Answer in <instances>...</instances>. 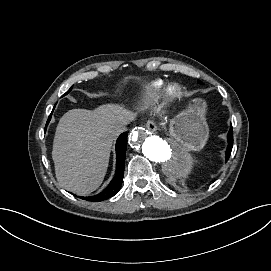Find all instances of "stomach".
Masks as SVG:
<instances>
[{
	"label": "stomach",
	"instance_id": "stomach-1",
	"mask_svg": "<svg viewBox=\"0 0 271 271\" xmlns=\"http://www.w3.org/2000/svg\"><path fill=\"white\" fill-rule=\"evenodd\" d=\"M205 104L201 100L192 103L189 111L170 121V134L190 149H200L208 137V127L203 117Z\"/></svg>",
	"mask_w": 271,
	"mask_h": 271
}]
</instances>
